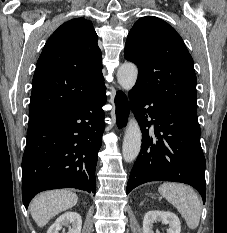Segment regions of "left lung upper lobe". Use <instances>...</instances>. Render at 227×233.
Listing matches in <instances>:
<instances>
[{"label": "left lung upper lobe", "mask_w": 227, "mask_h": 233, "mask_svg": "<svg viewBox=\"0 0 227 233\" xmlns=\"http://www.w3.org/2000/svg\"><path fill=\"white\" fill-rule=\"evenodd\" d=\"M124 57L138 66L136 90L197 120L194 63L174 28L157 17L140 18L128 34Z\"/></svg>", "instance_id": "1"}]
</instances>
